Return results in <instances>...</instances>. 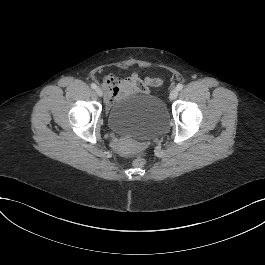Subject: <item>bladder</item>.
I'll return each mask as SVG.
<instances>
[{
  "mask_svg": "<svg viewBox=\"0 0 265 265\" xmlns=\"http://www.w3.org/2000/svg\"><path fill=\"white\" fill-rule=\"evenodd\" d=\"M168 110L154 95H135L117 101L108 111L107 126L126 137L142 138L165 129Z\"/></svg>",
  "mask_w": 265,
  "mask_h": 265,
  "instance_id": "bladder-1",
  "label": "bladder"
}]
</instances>
